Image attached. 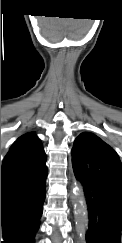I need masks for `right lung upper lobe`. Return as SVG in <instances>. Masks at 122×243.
<instances>
[{
	"mask_svg": "<svg viewBox=\"0 0 122 243\" xmlns=\"http://www.w3.org/2000/svg\"><path fill=\"white\" fill-rule=\"evenodd\" d=\"M46 167V154L35 133L18 138L5 156L1 168V185Z\"/></svg>",
	"mask_w": 122,
	"mask_h": 243,
	"instance_id": "cb5924a9",
	"label": "right lung upper lobe"
}]
</instances>
